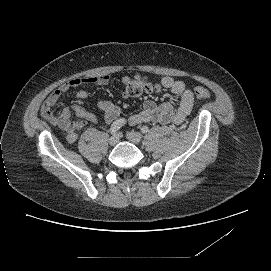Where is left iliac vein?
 I'll list each match as a JSON object with an SVG mask.
<instances>
[{
  "mask_svg": "<svg viewBox=\"0 0 271 271\" xmlns=\"http://www.w3.org/2000/svg\"><path fill=\"white\" fill-rule=\"evenodd\" d=\"M126 137L130 142H132L133 144H136V145L139 144L141 142V139H142L140 133L133 132V131L127 132Z\"/></svg>",
  "mask_w": 271,
  "mask_h": 271,
  "instance_id": "4c4485c4",
  "label": "left iliac vein"
}]
</instances>
